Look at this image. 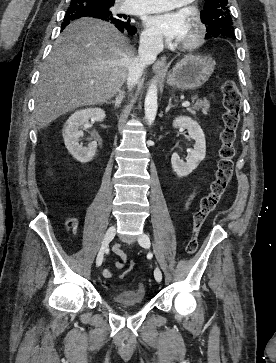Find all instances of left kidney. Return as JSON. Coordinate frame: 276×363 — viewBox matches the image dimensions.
<instances>
[{
    "label": "left kidney",
    "instance_id": "obj_1",
    "mask_svg": "<svg viewBox=\"0 0 276 363\" xmlns=\"http://www.w3.org/2000/svg\"><path fill=\"white\" fill-rule=\"evenodd\" d=\"M174 128H185L189 137L195 140L193 149L188 155V159L184 162L180 159L178 153H173L171 157L172 168L178 177H186L197 168L199 163L204 160L206 155V141L203 130L200 125L192 118L187 116H179L173 121Z\"/></svg>",
    "mask_w": 276,
    "mask_h": 363
}]
</instances>
